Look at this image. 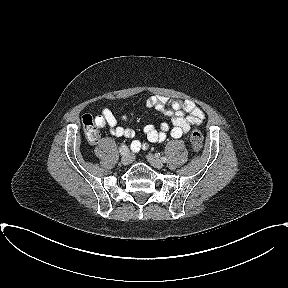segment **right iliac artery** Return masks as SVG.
<instances>
[{
	"instance_id": "82829eb1",
	"label": "right iliac artery",
	"mask_w": 288,
	"mask_h": 288,
	"mask_svg": "<svg viewBox=\"0 0 288 288\" xmlns=\"http://www.w3.org/2000/svg\"><path fill=\"white\" fill-rule=\"evenodd\" d=\"M119 150L124 158H127L129 156V149L127 148V146L121 145Z\"/></svg>"
}]
</instances>
